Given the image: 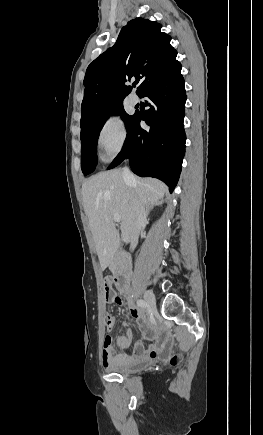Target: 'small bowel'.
I'll list each match as a JSON object with an SVG mask.
<instances>
[{
	"mask_svg": "<svg viewBox=\"0 0 263 435\" xmlns=\"http://www.w3.org/2000/svg\"><path fill=\"white\" fill-rule=\"evenodd\" d=\"M111 290L115 293L112 287ZM106 302L119 304L123 303L121 299L118 302H111L108 300H106ZM127 303L129 304V302ZM131 311L142 332V340L134 343L131 351L127 352V350L131 347L132 332L131 330H128L126 334L120 335L116 340V344L121 352H115L114 350H102V364L105 368L132 363L143 359L157 358L159 352L164 347V344L161 342V335L150 318L136 308L132 307ZM114 324V317L110 314H107V329H112Z\"/></svg>",
	"mask_w": 263,
	"mask_h": 435,
	"instance_id": "c3829d8e",
	"label": "small bowel"
}]
</instances>
